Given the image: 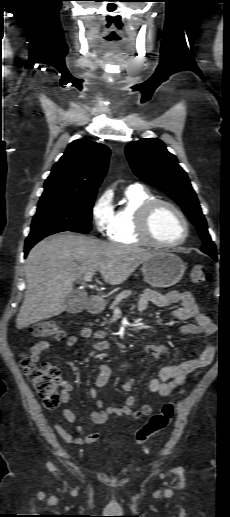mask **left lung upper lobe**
<instances>
[{"label":"left lung upper lobe","mask_w":230,"mask_h":517,"mask_svg":"<svg viewBox=\"0 0 230 517\" xmlns=\"http://www.w3.org/2000/svg\"><path fill=\"white\" fill-rule=\"evenodd\" d=\"M126 155L134 173L144 182L171 197L197 228L204 245L201 250L217 260L215 245L207 230L206 220L186 172L177 158L157 138H146L126 146Z\"/></svg>","instance_id":"obj_1"}]
</instances>
